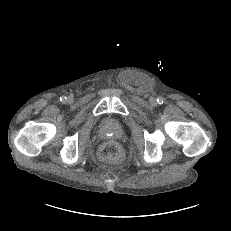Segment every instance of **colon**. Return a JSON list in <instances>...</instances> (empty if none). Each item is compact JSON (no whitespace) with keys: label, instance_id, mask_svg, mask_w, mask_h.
Instances as JSON below:
<instances>
[{"label":"colon","instance_id":"1","mask_svg":"<svg viewBox=\"0 0 231 231\" xmlns=\"http://www.w3.org/2000/svg\"><path fill=\"white\" fill-rule=\"evenodd\" d=\"M100 158L107 163H114L120 157V151L114 142H104L99 149Z\"/></svg>","mask_w":231,"mask_h":231}]
</instances>
